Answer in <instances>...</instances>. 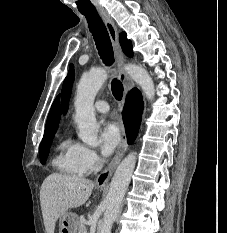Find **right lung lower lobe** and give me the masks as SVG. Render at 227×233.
Segmentation results:
<instances>
[{
  "instance_id": "right-lung-lower-lobe-1",
  "label": "right lung lower lobe",
  "mask_w": 227,
  "mask_h": 233,
  "mask_svg": "<svg viewBox=\"0 0 227 233\" xmlns=\"http://www.w3.org/2000/svg\"><path fill=\"white\" fill-rule=\"evenodd\" d=\"M133 91L127 95L123 117L125 122V130L127 134L128 143L131 144L138 134V129L140 126L139 121L137 120V109L133 99Z\"/></svg>"
}]
</instances>
